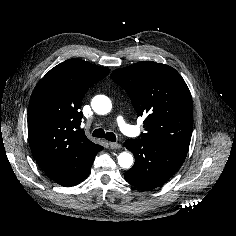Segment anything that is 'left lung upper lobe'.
Instances as JSON below:
<instances>
[{"label": "left lung upper lobe", "instance_id": "left-lung-upper-lobe-1", "mask_svg": "<svg viewBox=\"0 0 236 236\" xmlns=\"http://www.w3.org/2000/svg\"><path fill=\"white\" fill-rule=\"evenodd\" d=\"M111 78L127 91L145 133L140 139L188 152L193 111L190 91L172 67L153 61L116 69Z\"/></svg>", "mask_w": 236, "mask_h": 236}]
</instances>
